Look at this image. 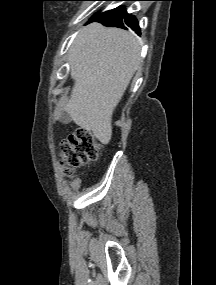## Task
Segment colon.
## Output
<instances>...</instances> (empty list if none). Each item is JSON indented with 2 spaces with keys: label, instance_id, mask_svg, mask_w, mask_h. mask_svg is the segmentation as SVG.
<instances>
[{
  "label": "colon",
  "instance_id": "1",
  "mask_svg": "<svg viewBox=\"0 0 216 285\" xmlns=\"http://www.w3.org/2000/svg\"><path fill=\"white\" fill-rule=\"evenodd\" d=\"M101 145L85 129H77L61 143L60 155L67 174L98 158Z\"/></svg>",
  "mask_w": 216,
  "mask_h": 285
}]
</instances>
